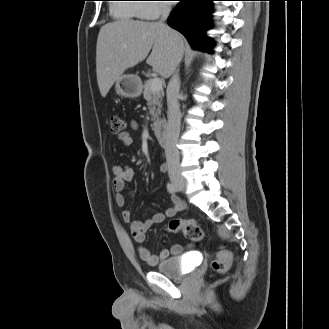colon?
<instances>
[{
    "instance_id": "1",
    "label": "colon",
    "mask_w": 329,
    "mask_h": 329,
    "mask_svg": "<svg viewBox=\"0 0 329 329\" xmlns=\"http://www.w3.org/2000/svg\"><path fill=\"white\" fill-rule=\"evenodd\" d=\"M125 129L126 121L124 118L116 114L110 117V132L113 135L122 134ZM166 230L172 233L181 232L187 239L197 242L204 237L202 228L194 220L171 219L166 225ZM231 258L229 251H219L212 262L213 269L220 274L228 272L231 267Z\"/></svg>"
}]
</instances>
